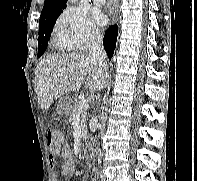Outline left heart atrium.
<instances>
[{"label": "left heart atrium", "mask_w": 197, "mask_h": 181, "mask_svg": "<svg viewBox=\"0 0 197 181\" xmlns=\"http://www.w3.org/2000/svg\"><path fill=\"white\" fill-rule=\"evenodd\" d=\"M92 18L94 20V22L99 25V26H103L106 24L107 22V17L104 13H102L101 11H95L92 14Z\"/></svg>", "instance_id": "1"}]
</instances>
